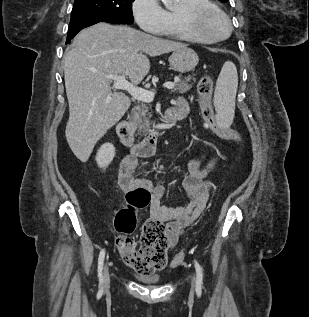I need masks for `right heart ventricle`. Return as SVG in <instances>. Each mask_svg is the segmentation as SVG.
I'll list each match as a JSON object with an SVG mask.
<instances>
[{
  "label": "right heart ventricle",
  "mask_w": 309,
  "mask_h": 317,
  "mask_svg": "<svg viewBox=\"0 0 309 317\" xmlns=\"http://www.w3.org/2000/svg\"><path fill=\"white\" fill-rule=\"evenodd\" d=\"M198 4H212L210 0H180L179 7L176 9L165 10L167 25L164 34L180 40L199 41L189 35L180 24V11L187 6Z\"/></svg>",
  "instance_id": "obj_1"
}]
</instances>
